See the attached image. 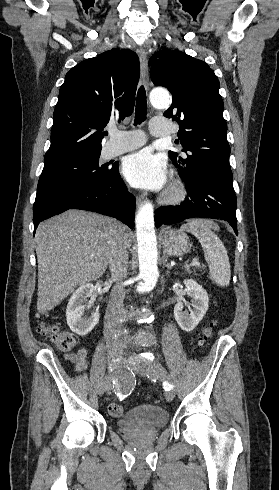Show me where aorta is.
<instances>
[{"label": "aorta", "mask_w": 279, "mask_h": 490, "mask_svg": "<svg viewBox=\"0 0 279 490\" xmlns=\"http://www.w3.org/2000/svg\"><path fill=\"white\" fill-rule=\"evenodd\" d=\"M151 104L156 108H168L172 99L167 91L153 90L150 94ZM136 235L139 258V277L141 282L137 285L138 292H149L157 283L159 272L157 267V239L154 225V208L150 202L142 205L136 215ZM127 315L123 311L122 323L113 332L115 340L123 341L127 336V330L123 323Z\"/></svg>", "instance_id": "762f6f07"}]
</instances>
